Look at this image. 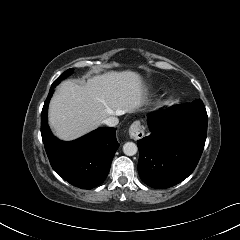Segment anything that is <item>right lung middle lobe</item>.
Listing matches in <instances>:
<instances>
[{
  "instance_id": "obj_1",
  "label": "right lung middle lobe",
  "mask_w": 240,
  "mask_h": 240,
  "mask_svg": "<svg viewBox=\"0 0 240 240\" xmlns=\"http://www.w3.org/2000/svg\"><path fill=\"white\" fill-rule=\"evenodd\" d=\"M73 70H74V69H68V70H66L58 79H56V80L53 82L51 88H55V86L58 85L59 82H60L62 79H64V78H66L67 76H69V75L73 72Z\"/></svg>"
}]
</instances>
